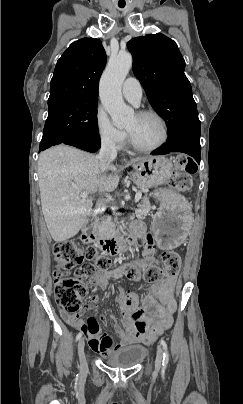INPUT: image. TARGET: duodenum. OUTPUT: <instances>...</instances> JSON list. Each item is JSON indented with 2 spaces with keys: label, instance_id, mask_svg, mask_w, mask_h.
Wrapping results in <instances>:
<instances>
[{
  "label": "duodenum",
  "instance_id": "410a0bca",
  "mask_svg": "<svg viewBox=\"0 0 243 404\" xmlns=\"http://www.w3.org/2000/svg\"><path fill=\"white\" fill-rule=\"evenodd\" d=\"M138 237L139 233L135 229H132L127 235L121 238L100 240L98 242V247L105 255L117 256L122 250L133 247L137 242ZM81 238L82 241L86 243L93 242L96 239L95 223L93 219H89L85 223Z\"/></svg>",
  "mask_w": 243,
  "mask_h": 404
}]
</instances>
